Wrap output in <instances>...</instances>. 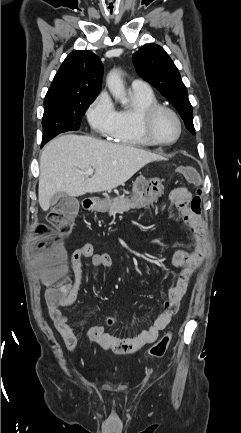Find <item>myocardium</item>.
I'll return each instance as SVG.
<instances>
[{
  "label": "myocardium",
  "mask_w": 241,
  "mask_h": 433,
  "mask_svg": "<svg viewBox=\"0 0 241 433\" xmlns=\"http://www.w3.org/2000/svg\"><path fill=\"white\" fill-rule=\"evenodd\" d=\"M162 112H166V113L170 114L174 118V120L177 124L178 132H177L176 137L172 141H168V142L161 141L155 136V134L153 132L154 121H155L156 117ZM140 128H141V132H142L143 136L146 138V140L150 144L156 145V146L173 145L180 139V137L182 135V122H181L179 115L172 108L165 106V105H161V104L150 105V106L141 110V112H140Z\"/></svg>",
  "instance_id": "1"
}]
</instances>
